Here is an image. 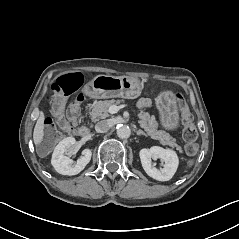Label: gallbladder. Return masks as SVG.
<instances>
[{
    "mask_svg": "<svg viewBox=\"0 0 239 239\" xmlns=\"http://www.w3.org/2000/svg\"><path fill=\"white\" fill-rule=\"evenodd\" d=\"M47 147L45 145H38L37 146V153L40 156L41 150L46 149Z\"/></svg>",
    "mask_w": 239,
    "mask_h": 239,
    "instance_id": "gallbladder-1",
    "label": "gallbladder"
}]
</instances>
